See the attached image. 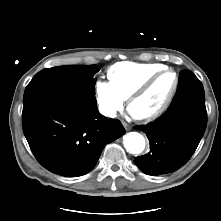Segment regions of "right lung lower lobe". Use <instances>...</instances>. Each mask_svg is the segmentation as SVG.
<instances>
[{"label": "right lung lower lobe", "mask_w": 221, "mask_h": 221, "mask_svg": "<svg viewBox=\"0 0 221 221\" xmlns=\"http://www.w3.org/2000/svg\"><path fill=\"white\" fill-rule=\"evenodd\" d=\"M22 124L38 162L67 177L91 171L103 148L125 134L119 120L99 113L95 97L47 87L25 90Z\"/></svg>", "instance_id": "right-lung-lower-lobe-1"}]
</instances>
